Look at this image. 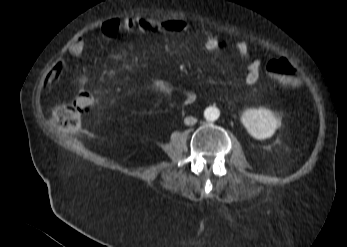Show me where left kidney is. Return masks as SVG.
Here are the masks:
<instances>
[{
  "label": "left kidney",
  "mask_w": 347,
  "mask_h": 247,
  "mask_svg": "<svg viewBox=\"0 0 347 247\" xmlns=\"http://www.w3.org/2000/svg\"><path fill=\"white\" fill-rule=\"evenodd\" d=\"M241 121L248 133L259 140L270 138L281 125L278 116L266 108L246 110Z\"/></svg>",
  "instance_id": "1"
}]
</instances>
